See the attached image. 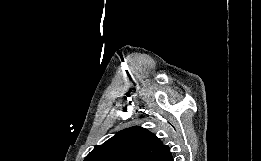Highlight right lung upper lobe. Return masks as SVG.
Wrapping results in <instances>:
<instances>
[{"instance_id":"1","label":"right lung upper lobe","mask_w":261,"mask_h":161,"mask_svg":"<svg viewBox=\"0 0 261 161\" xmlns=\"http://www.w3.org/2000/svg\"><path fill=\"white\" fill-rule=\"evenodd\" d=\"M172 157L153 133L134 126L95 146L84 161H167Z\"/></svg>"}]
</instances>
